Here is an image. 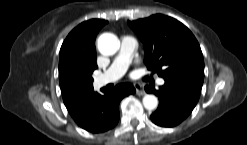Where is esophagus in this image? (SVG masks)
I'll return each instance as SVG.
<instances>
[{
    "mask_svg": "<svg viewBox=\"0 0 247 145\" xmlns=\"http://www.w3.org/2000/svg\"><path fill=\"white\" fill-rule=\"evenodd\" d=\"M134 87L136 89V94L142 96L145 94V91L140 83H135Z\"/></svg>",
    "mask_w": 247,
    "mask_h": 145,
    "instance_id": "esophagus-1",
    "label": "esophagus"
}]
</instances>
